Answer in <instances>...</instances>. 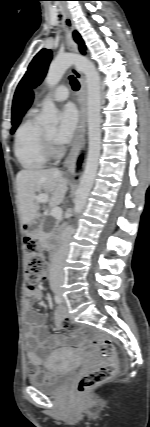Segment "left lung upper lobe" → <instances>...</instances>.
Segmentation results:
<instances>
[{
	"instance_id": "left-lung-upper-lobe-1",
	"label": "left lung upper lobe",
	"mask_w": 150,
	"mask_h": 427,
	"mask_svg": "<svg viewBox=\"0 0 150 427\" xmlns=\"http://www.w3.org/2000/svg\"><path fill=\"white\" fill-rule=\"evenodd\" d=\"M75 41L83 44V40L77 32H74ZM52 58V52L48 49H42L30 63L28 70L16 89L13 106H12V122H15L18 105L24 91L29 87H35L43 80L49 63Z\"/></svg>"
}]
</instances>
